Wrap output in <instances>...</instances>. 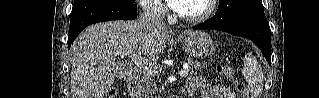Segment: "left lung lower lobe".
<instances>
[{"instance_id": "0a47b994", "label": "left lung lower lobe", "mask_w": 319, "mask_h": 98, "mask_svg": "<svg viewBox=\"0 0 319 98\" xmlns=\"http://www.w3.org/2000/svg\"><path fill=\"white\" fill-rule=\"evenodd\" d=\"M193 29H212L228 32L253 41L271 64V30L264 13H257L242 20L225 24H199Z\"/></svg>"}]
</instances>
